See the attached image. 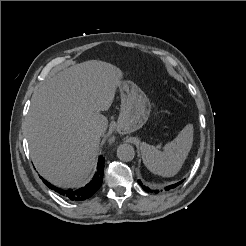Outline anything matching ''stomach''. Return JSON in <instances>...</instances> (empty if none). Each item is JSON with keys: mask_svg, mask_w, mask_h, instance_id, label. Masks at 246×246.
I'll return each mask as SVG.
<instances>
[{"mask_svg": "<svg viewBox=\"0 0 246 246\" xmlns=\"http://www.w3.org/2000/svg\"><path fill=\"white\" fill-rule=\"evenodd\" d=\"M121 112L118 127L125 133L140 129L148 120L151 106L145 93L133 82L123 81L119 85Z\"/></svg>", "mask_w": 246, "mask_h": 246, "instance_id": "0dacf381", "label": "stomach"}]
</instances>
